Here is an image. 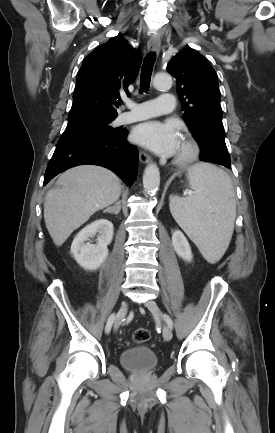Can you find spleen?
<instances>
[{
    "instance_id": "spleen-1",
    "label": "spleen",
    "mask_w": 275,
    "mask_h": 433,
    "mask_svg": "<svg viewBox=\"0 0 275 433\" xmlns=\"http://www.w3.org/2000/svg\"><path fill=\"white\" fill-rule=\"evenodd\" d=\"M194 194L170 199V211L178 225L210 263L217 262L230 243L236 217L233 184L218 167L199 163L187 171Z\"/></svg>"
}]
</instances>
